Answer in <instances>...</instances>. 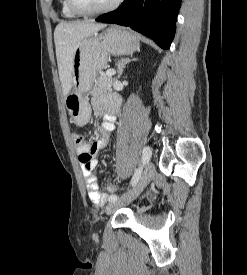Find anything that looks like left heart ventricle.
Listing matches in <instances>:
<instances>
[{
	"mask_svg": "<svg viewBox=\"0 0 247 275\" xmlns=\"http://www.w3.org/2000/svg\"><path fill=\"white\" fill-rule=\"evenodd\" d=\"M113 0H74L75 4L84 10H97L109 5Z\"/></svg>",
	"mask_w": 247,
	"mask_h": 275,
	"instance_id": "obj_1",
	"label": "left heart ventricle"
}]
</instances>
